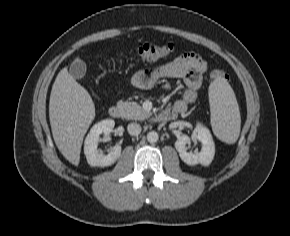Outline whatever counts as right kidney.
Returning a JSON list of instances; mask_svg holds the SVG:
<instances>
[{"label": "right kidney", "mask_w": 290, "mask_h": 236, "mask_svg": "<svg viewBox=\"0 0 290 236\" xmlns=\"http://www.w3.org/2000/svg\"><path fill=\"white\" fill-rule=\"evenodd\" d=\"M112 119H105L96 123L88 133L84 143V154L90 166L105 167L114 164L121 155V146L115 145L109 154L104 155L97 150L100 134L108 135L114 128Z\"/></svg>", "instance_id": "1"}]
</instances>
